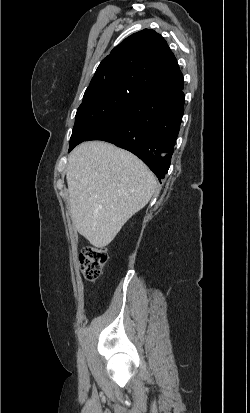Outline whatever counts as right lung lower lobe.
Returning <instances> with one entry per match:
<instances>
[{
	"mask_svg": "<svg viewBox=\"0 0 250 413\" xmlns=\"http://www.w3.org/2000/svg\"><path fill=\"white\" fill-rule=\"evenodd\" d=\"M184 83L139 95L85 141L103 140L138 156L161 180L167 173L184 113Z\"/></svg>",
	"mask_w": 250,
	"mask_h": 413,
	"instance_id": "right-lung-lower-lobe-1",
	"label": "right lung lower lobe"
}]
</instances>
